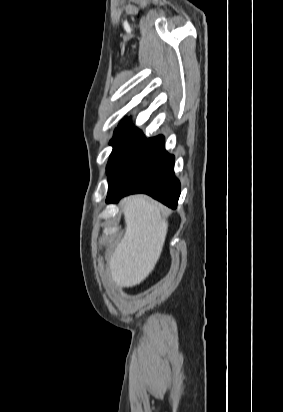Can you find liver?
<instances>
[{"label":"liver","mask_w":283,"mask_h":412,"mask_svg":"<svg viewBox=\"0 0 283 412\" xmlns=\"http://www.w3.org/2000/svg\"><path fill=\"white\" fill-rule=\"evenodd\" d=\"M121 206L126 230L109 266L117 286L132 287L153 271L165 243L168 222L161 217L163 207L144 195L125 198Z\"/></svg>","instance_id":"6515ba94"}]
</instances>
